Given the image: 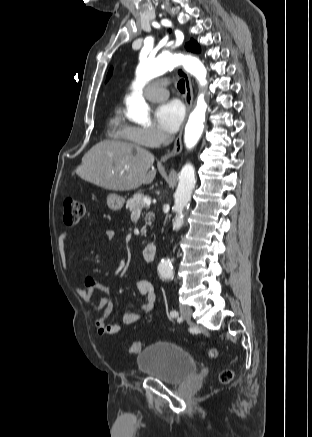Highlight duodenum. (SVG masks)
Masks as SVG:
<instances>
[{
  "mask_svg": "<svg viewBox=\"0 0 312 437\" xmlns=\"http://www.w3.org/2000/svg\"><path fill=\"white\" fill-rule=\"evenodd\" d=\"M155 245L153 243H148L143 247L142 257L144 261L151 262L154 258Z\"/></svg>",
  "mask_w": 312,
  "mask_h": 437,
  "instance_id": "410a0bca",
  "label": "duodenum"
}]
</instances>
